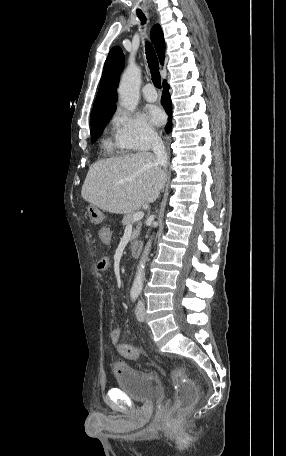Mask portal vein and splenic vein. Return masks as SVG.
Wrapping results in <instances>:
<instances>
[{
    "instance_id": "portal-vein-and-splenic-vein-1",
    "label": "portal vein and splenic vein",
    "mask_w": 286,
    "mask_h": 456,
    "mask_svg": "<svg viewBox=\"0 0 286 456\" xmlns=\"http://www.w3.org/2000/svg\"><path fill=\"white\" fill-rule=\"evenodd\" d=\"M144 217V212L138 211L133 215V222L141 220Z\"/></svg>"
}]
</instances>
